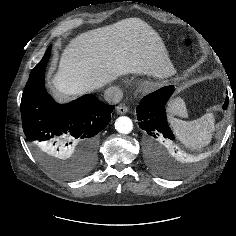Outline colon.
Instances as JSON below:
<instances>
[{
	"label": "colon",
	"mask_w": 236,
	"mask_h": 236,
	"mask_svg": "<svg viewBox=\"0 0 236 236\" xmlns=\"http://www.w3.org/2000/svg\"><path fill=\"white\" fill-rule=\"evenodd\" d=\"M184 44H185L186 46L190 45L189 40L185 39V40H184Z\"/></svg>",
	"instance_id": "colon-1"
}]
</instances>
